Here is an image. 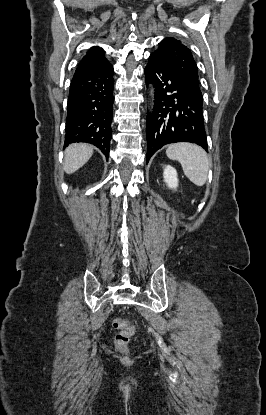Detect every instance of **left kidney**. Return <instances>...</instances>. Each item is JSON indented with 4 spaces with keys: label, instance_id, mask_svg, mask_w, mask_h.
Listing matches in <instances>:
<instances>
[{
    "label": "left kidney",
    "instance_id": "1",
    "mask_svg": "<svg viewBox=\"0 0 266 415\" xmlns=\"http://www.w3.org/2000/svg\"><path fill=\"white\" fill-rule=\"evenodd\" d=\"M164 181L170 189H176L178 186L177 171L172 166L165 167L163 172Z\"/></svg>",
    "mask_w": 266,
    "mask_h": 415
}]
</instances>
